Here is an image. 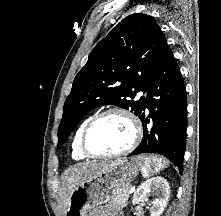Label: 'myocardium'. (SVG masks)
Wrapping results in <instances>:
<instances>
[{
    "instance_id": "obj_1",
    "label": "myocardium",
    "mask_w": 221,
    "mask_h": 216,
    "mask_svg": "<svg viewBox=\"0 0 221 216\" xmlns=\"http://www.w3.org/2000/svg\"><path fill=\"white\" fill-rule=\"evenodd\" d=\"M111 114L121 115L129 121L132 127V131H133L132 140L127 147H125L124 149L120 151L112 152V153H94L88 148V145H87L88 133L90 129L99 120ZM142 132H143L142 124L139 118L136 115H134L130 110L124 107H110L92 116L90 120L87 122L80 136V148L85 155L93 157V158H116V157L123 156L131 152L140 142L142 138Z\"/></svg>"
}]
</instances>
